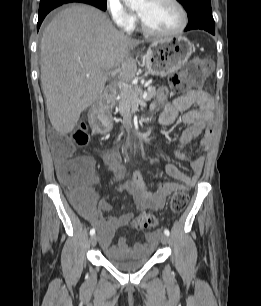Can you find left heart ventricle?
<instances>
[{
	"instance_id": "obj_1",
	"label": "left heart ventricle",
	"mask_w": 261,
	"mask_h": 306,
	"mask_svg": "<svg viewBox=\"0 0 261 306\" xmlns=\"http://www.w3.org/2000/svg\"><path fill=\"white\" fill-rule=\"evenodd\" d=\"M135 10L149 27L158 31H171L180 22L178 9L168 0H139Z\"/></svg>"
}]
</instances>
